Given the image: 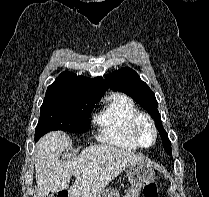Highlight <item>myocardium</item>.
I'll list each match as a JSON object with an SVG mask.
<instances>
[{"mask_svg": "<svg viewBox=\"0 0 209 197\" xmlns=\"http://www.w3.org/2000/svg\"><path fill=\"white\" fill-rule=\"evenodd\" d=\"M143 123L148 124L153 131V140H152V143L149 145H145L141 141L140 129H141V126ZM132 135H133V138H134L136 144L139 147H141V148L152 147L156 143L157 137H158V131H157V128H156V125H155L153 119L145 113H139L133 120Z\"/></svg>", "mask_w": 209, "mask_h": 197, "instance_id": "obj_1", "label": "myocardium"}]
</instances>
